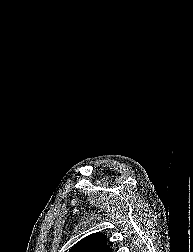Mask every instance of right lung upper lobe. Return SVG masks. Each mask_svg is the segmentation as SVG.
Masks as SVG:
<instances>
[{
    "label": "right lung upper lobe",
    "instance_id": "obj_1",
    "mask_svg": "<svg viewBox=\"0 0 193 252\" xmlns=\"http://www.w3.org/2000/svg\"><path fill=\"white\" fill-rule=\"evenodd\" d=\"M70 252H111L106 244V236L94 233L78 242Z\"/></svg>",
    "mask_w": 193,
    "mask_h": 252
}]
</instances>
